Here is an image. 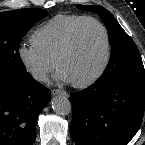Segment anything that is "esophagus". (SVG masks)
Here are the masks:
<instances>
[{
    "instance_id": "obj_1",
    "label": "esophagus",
    "mask_w": 145,
    "mask_h": 145,
    "mask_svg": "<svg viewBox=\"0 0 145 145\" xmlns=\"http://www.w3.org/2000/svg\"><path fill=\"white\" fill-rule=\"evenodd\" d=\"M51 94L54 96V95H64V96H67L68 93L63 91V90H60V89H53L51 91Z\"/></svg>"
}]
</instances>
